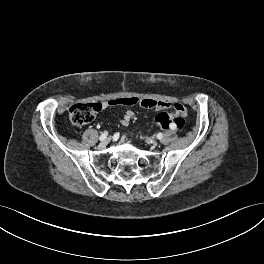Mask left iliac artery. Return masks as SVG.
I'll list each match as a JSON object with an SVG mask.
<instances>
[{
    "label": "left iliac artery",
    "mask_w": 264,
    "mask_h": 264,
    "mask_svg": "<svg viewBox=\"0 0 264 264\" xmlns=\"http://www.w3.org/2000/svg\"><path fill=\"white\" fill-rule=\"evenodd\" d=\"M170 128H171V129H175L176 126H175L174 124H171V125H170Z\"/></svg>",
    "instance_id": "1"
}]
</instances>
